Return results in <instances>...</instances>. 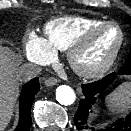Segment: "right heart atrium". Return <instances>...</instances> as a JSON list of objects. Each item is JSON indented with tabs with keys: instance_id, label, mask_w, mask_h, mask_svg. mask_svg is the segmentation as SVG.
<instances>
[{
	"instance_id": "obj_1",
	"label": "right heart atrium",
	"mask_w": 131,
	"mask_h": 131,
	"mask_svg": "<svg viewBox=\"0 0 131 131\" xmlns=\"http://www.w3.org/2000/svg\"><path fill=\"white\" fill-rule=\"evenodd\" d=\"M24 53L30 61L45 64L55 58V53L46 43L45 39L31 33L24 45Z\"/></svg>"
}]
</instances>
